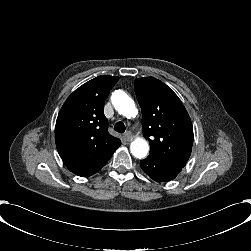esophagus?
Wrapping results in <instances>:
<instances>
[{"label":"esophagus","instance_id":"34e87169","mask_svg":"<svg viewBox=\"0 0 251 251\" xmlns=\"http://www.w3.org/2000/svg\"><path fill=\"white\" fill-rule=\"evenodd\" d=\"M124 137L126 138L127 141L133 140V135L131 134V132L125 133Z\"/></svg>","mask_w":251,"mask_h":251}]
</instances>
